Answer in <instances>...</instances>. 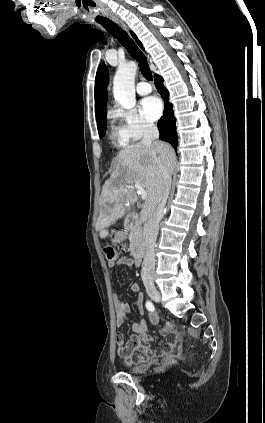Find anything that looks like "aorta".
I'll return each mask as SVG.
<instances>
[{
	"instance_id": "aorta-1",
	"label": "aorta",
	"mask_w": 265,
	"mask_h": 423,
	"mask_svg": "<svg viewBox=\"0 0 265 423\" xmlns=\"http://www.w3.org/2000/svg\"><path fill=\"white\" fill-rule=\"evenodd\" d=\"M137 64L133 61L118 66L113 80L114 99L124 109H132L136 105L135 75Z\"/></svg>"
}]
</instances>
